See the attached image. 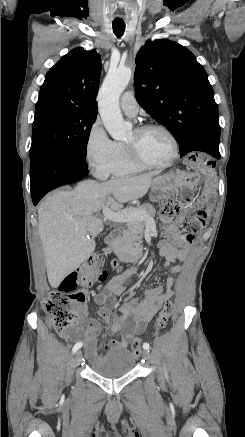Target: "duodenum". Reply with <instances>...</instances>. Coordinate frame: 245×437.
I'll return each mask as SVG.
<instances>
[{"instance_id":"410a0bca","label":"duodenum","mask_w":245,"mask_h":437,"mask_svg":"<svg viewBox=\"0 0 245 437\" xmlns=\"http://www.w3.org/2000/svg\"><path fill=\"white\" fill-rule=\"evenodd\" d=\"M118 240V232L112 231L107 238L108 247L105 248L104 252L106 254L114 253L121 261H131L138 262L142 256V252L138 247H126L119 248L116 246V242ZM137 267L134 266L131 269L127 270L124 274L120 275L124 279L130 277L133 273H135Z\"/></svg>"}]
</instances>
